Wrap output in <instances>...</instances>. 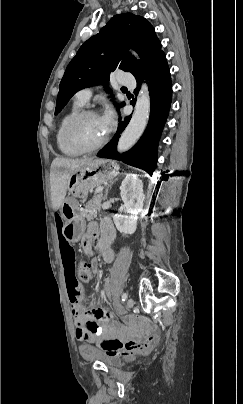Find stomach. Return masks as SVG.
I'll return each instance as SVG.
<instances>
[{
	"label": "stomach",
	"instance_id": "0dacf381",
	"mask_svg": "<svg viewBox=\"0 0 243 404\" xmlns=\"http://www.w3.org/2000/svg\"><path fill=\"white\" fill-rule=\"evenodd\" d=\"M119 169L120 166L115 161L93 158L89 163L71 171L68 191L72 197L67 198L61 206L66 222L63 236L69 243L78 241L86 226L75 198L85 197L90 189L110 181L119 173Z\"/></svg>",
	"mask_w": 243,
	"mask_h": 404
}]
</instances>
